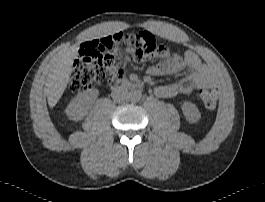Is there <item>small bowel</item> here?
<instances>
[{"label": "small bowel", "instance_id": "obj_1", "mask_svg": "<svg viewBox=\"0 0 265 202\" xmlns=\"http://www.w3.org/2000/svg\"><path fill=\"white\" fill-rule=\"evenodd\" d=\"M100 37L91 38L83 42L79 49L82 57L91 54H98ZM161 63L151 66L148 74L151 76L173 75L186 69L188 74L173 84L161 85L155 89V94L164 99H170L179 95H190L196 89L212 85L214 79L210 69L204 65L198 56L192 51H186L183 55L177 56L165 51L159 55Z\"/></svg>", "mask_w": 265, "mask_h": 202}]
</instances>
